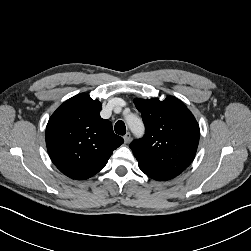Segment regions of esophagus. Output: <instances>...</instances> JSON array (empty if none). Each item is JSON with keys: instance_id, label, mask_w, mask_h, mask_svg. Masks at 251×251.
<instances>
[{"instance_id": "obj_1", "label": "esophagus", "mask_w": 251, "mask_h": 251, "mask_svg": "<svg viewBox=\"0 0 251 251\" xmlns=\"http://www.w3.org/2000/svg\"><path fill=\"white\" fill-rule=\"evenodd\" d=\"M124 141H125V143H129L131 141V134L129 132H127L124 135Z\"/></svg>"}]
</instances>
